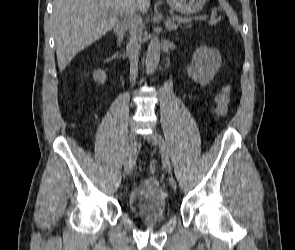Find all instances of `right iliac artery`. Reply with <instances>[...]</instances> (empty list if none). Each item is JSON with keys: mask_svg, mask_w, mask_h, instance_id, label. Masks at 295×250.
Instances as JSON below:
<instances>
[{"mask_svg": "<svg viewBox=\"0 0 295 250\" xmlns=\"http://www.w3.org/2000/svg\"><path fill=\"white\" fill-rule=\"evenodd\" d=\"M134 151H135L136 154H139V153H140V150H139L138 147H135V148H134ZM136 154H134L133 156H131V157L129 158V160H128L129 165L132 166V167H133V165L135 164Z\"/></svg>", "mask_w": 295, "mask_h": 250, "instance_id": "1", "label": "right iliac artery"}]
</instances>
